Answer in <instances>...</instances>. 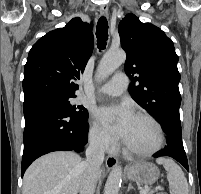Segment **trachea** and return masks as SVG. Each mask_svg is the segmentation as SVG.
<instances>
[{"mask_svg":"<svg viewBox=\"0 0 201 194\" xmlns=\"http://www.w3.org/2000/svg\"><path fill=\"white\" fill-rule=\"evenodd\" d=\"M97 45L99 50H103L106 47L108 40V22L107 19L102 16L97 23L96 27Z\"/></svg>","mask_w":201,"mask_h":194,"instance_id":"trachea-1","label":"trachea"}]
</instances>
